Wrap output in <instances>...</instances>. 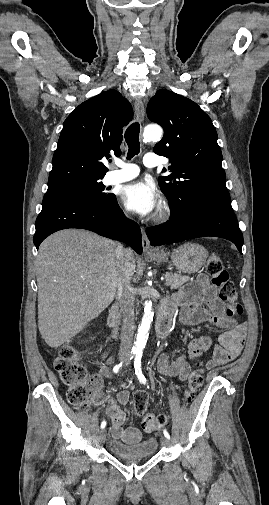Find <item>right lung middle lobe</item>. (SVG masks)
<instances>
[{
	"label": "right lung middle lobe",
	"instance_id": "obj_1",
	"mask_svg": "<svg viewBox=\"0 0 269 505\" xmlns=\"http://www.w3.org/2000/svg\"><path fill=\"white\" fill-rule=\"evenodd\" d=\"M99 179L82 181L58 188L48 189L43 201L60 197H79L96 204H104L111 201L115 195L107 192Z\"/></svg>",
	"mask_w": 269,
	"mask_h": 505
}]
</instances>
